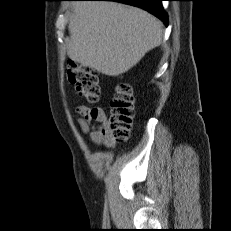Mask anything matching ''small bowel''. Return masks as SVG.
Instances as JSON below:
<instances>
[{
    "mask_svg": "<svg viewBox=\"0 0 231 231\" xmlns=\"http://www.w3.org/2000/svg\"><path fill=\"white\" fill-rule=\"evenodd\" d=\"M77 112L80 115L78 124L82 132L93 143L112 146L110 123L102 108L82 105L77 108Z\"/></svg>",
    "mask_w": 231,
    "mask_h": 231,
    "instance_id": "small-bowel-1",
    "label": "small bowel"
}]
</instances>
